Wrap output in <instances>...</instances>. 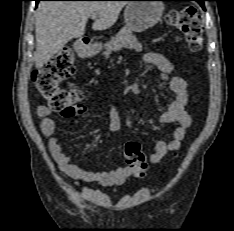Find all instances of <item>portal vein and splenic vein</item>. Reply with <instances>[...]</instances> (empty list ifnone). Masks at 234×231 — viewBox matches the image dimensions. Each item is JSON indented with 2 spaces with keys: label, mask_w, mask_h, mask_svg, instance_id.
<instances>
[{
  "label": "portal vein and splenic vein",
  "mask_w": 234,
  "mask_h": 231,
  "mask_svg": "<svg viewBox=\"0 0 234 231\" xmlns=\"http://www.w3.org/2000/svg\"><path fill=\"white\" fill-rule=\"evenodd\" d=\"M97 16H98L97 13H93V14L91 15V18H92V19H96Z\"/></svg>",
  "instance_id": "18ae733b"
}]
</instances>
